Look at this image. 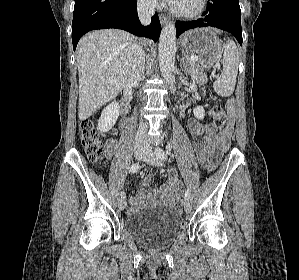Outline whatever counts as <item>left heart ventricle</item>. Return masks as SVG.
I'll return each mask as SVG.
<instances>
[{
	"mask_svg": "<svg viewBox=\"0 0 299 280\" xmlns=\"http://www.w3.org/2000/svg\"><path fill=\"white\" fill-rule=\"evenodd\" d=\"M198 4L199 0H176L173 5L182 11H193Z\"/></svg>",
	"mask_w": 299,
	"mask_h": 280,
	"instance_id": "obj_1",
	"label": "left heart ventricle"
}]
</instances>
